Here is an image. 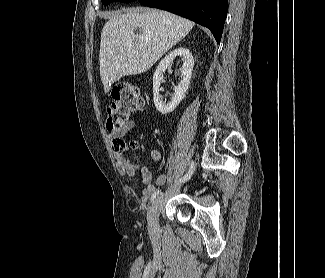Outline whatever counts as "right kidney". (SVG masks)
<instances>
[{
	"mask_svg": "<svg viewBox=\"0 0 325 278\" xmlns=\"http://www.w3.org/2000/svg\"><path fill=\"white\" fill-rule=\"evenodd\" d=\"M177 56L182 58L183 65L180 68L181 71V81L178 86L175 88L174 94L172 95V99L169 103H165L159 95L160 85L163 81V74L165 70L172 64L174 58ZM194 67V59L189 51V49L185 47H178L172 50L166 57H164L154 75H153V100L156 109L161 114H168L174 111L177 105L182 101L185 96V93L190 84V79L192 76V70Z\"/></svg>",
	"mask_w": 325,
	"mask_h": 278,
	"instance_id": "obj_1",
	"label": "right kidney"
}]
</instances>
